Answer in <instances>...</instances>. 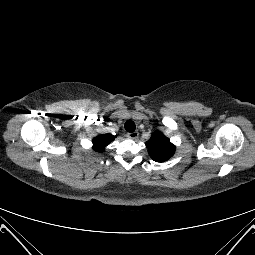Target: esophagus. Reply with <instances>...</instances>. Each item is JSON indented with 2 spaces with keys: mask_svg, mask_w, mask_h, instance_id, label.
<instances>
[{
  "mask_svg": "<svg viewBox=\"0 0 255 255\" xmlns=\"http://www.w3.org/2000/svg\"><path fill=\"white\" fill-rule=\"evenodd\" d=\"M129 139H137L138 136H139V133L138 132H130V133H127L126 135Z\"/></svg>",
  "mask_w": 255,
  "mask_h": 255,
  "instance_id": "obj_1",
  "label": "esophagus"
}]
</instances>
